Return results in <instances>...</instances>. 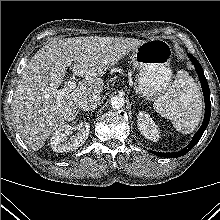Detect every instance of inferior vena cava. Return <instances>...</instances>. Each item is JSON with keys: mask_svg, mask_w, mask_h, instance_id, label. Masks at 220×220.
I'll return each instance as SVG.
<instances>
[{"mask_svg": "<svg viewBox=\"0 0 220 220\" xmlns=\"http://www.w3.org/2000/svg\"><path fill=\"white\" fill-rule=\"evenodd\" d=\"M99 102H100V95L91 94L80 101L79 107L83 111H93L97 108Z\"/></svg>", "mask_w": 220, "mask_h": 220, "instance_id": "602c4592", "label": "inferior vena cava"}]
</instances>
